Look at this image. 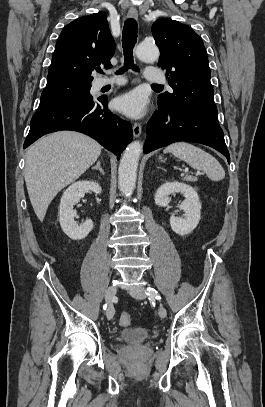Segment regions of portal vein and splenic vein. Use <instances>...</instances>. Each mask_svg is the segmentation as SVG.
<instances>
[{
  "label": "portal vein and splenic vein",
  "instance_id": "portal-vein-and-splenic-vein-1",
  "mask_svg": "<svg viewBox=\"0 0 265 407\" xmlns=\"http://www.w3.org/2000/svg\"><path fill=\"white\" fill-rule=\"evenodd\" d=\"M184 172L187 173V172H188V169L186 168V169L184 170ZM197 174L201 175L202 173H201V172H197Z\"/></svg>",
  "mask_w": 265,
  "mask_h": 407
}]
</instances>
